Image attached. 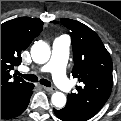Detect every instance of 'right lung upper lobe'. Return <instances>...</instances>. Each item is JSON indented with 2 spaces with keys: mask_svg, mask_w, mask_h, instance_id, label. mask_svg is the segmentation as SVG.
I'll return each instance as SVG.
<instances>
[{
  "mask_svg": "<svg viewBox=\"0 0 121 121\" xmlns=\"http://www.w3.org/2000/svg\"><path fill=\"white\" fill-rule=\"evenodd\" d=\"M42 26L40 19L28 17L1 24V104L30 85L20 77L12 78L10 71L21 63V51L40 34Z\"/></svg>",
  "mask_w": 121,
  "mask_h": 121,
  "instance_id": "right-lung-upper-lobe-1",
  "label": "right lung upper lobe"
}]
</instances>
